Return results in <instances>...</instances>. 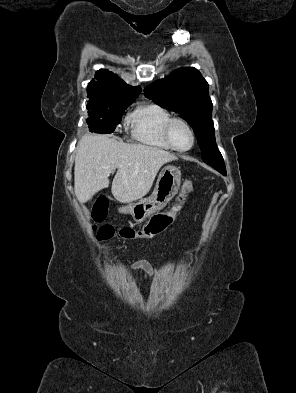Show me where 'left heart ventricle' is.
<instances>
[{"instance_id": "b2bd125f", "label": "left heart ventricle", "mask_w": 296, "mask_h": 393, "mask_svg": "<svg viewBox=\"0 0 296 393\" xmlns=\"http://www.w3.org/2000/svg\"><path fill=\"white\" fill-rule=\"evenodd\" d=\"M171 136L174 144L185 149L191 145L192 137L188 128L182 123H175L172 127Z\"/></svg>"}]
</instances>
